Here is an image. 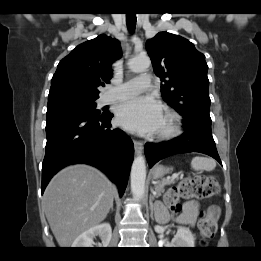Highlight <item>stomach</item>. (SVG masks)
Segmentation results:
<instances>
[{
	"label": "stomach",
	"instance_id": "1",
	"mask_svg": "<svg viewBox=\"0 0 261 261\" xmlns=\"http://www.w3.org/2000/svg\"><path fill=\"white\" fill-rule=\"evenodd\" d=\"M169 168H166L162 165L157 166L154 168L152 174L154 179L162 178L167 172H169Z\"/></svg>",
	"mask_w": 261,
	"mask_h": 261
}]
</instances>
